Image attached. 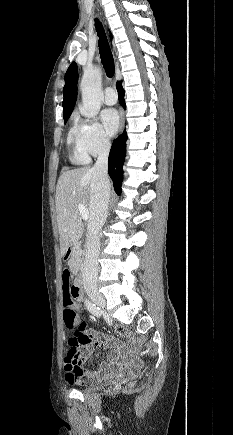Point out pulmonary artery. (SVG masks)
<instances>
[{
	"label": "pulmonary artery",
	"mask_w": 233,
	"mask_h": 435,
	"mask_svg": "<svg viewBox=\"0 0 233 435\" xmlns=\"http://www.w3.org/2000/svg\"><path fill=\"white\" fill-rule=\"evenodd\" d=\"M117 97H116V93L115 91L110 88L107 87L104 90V102L108 105H113L116 103Z\"/></svg>",
	"instance_id": "e3ab8cb5"
}]
</instances>
